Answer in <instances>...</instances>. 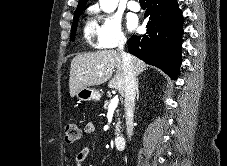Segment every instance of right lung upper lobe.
<instances>
[{
	"mask_svg": "<svg viewBox=\"0 0 227 166\" xmlns=\"http://www.w3.org/2000/svg\"><path fill=\"white\" fill-rule=\"evenodd\" d=\"M87 1L88 0H79V4H78V7L77 8L83 7L87 3Z\"/></svg>",
	"mask_w": 227,
	"mask_h": 166,
	"instance_id": "1",
	"label": "right lung upper lobe"
}]
</instances>
